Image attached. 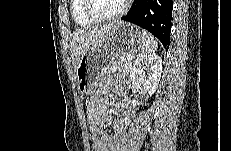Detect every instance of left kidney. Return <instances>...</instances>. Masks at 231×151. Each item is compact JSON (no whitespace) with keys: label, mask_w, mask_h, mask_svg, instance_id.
<instances>
[{"label":"left kidney","mask_w":231,"mask_h":151,"mask_svg":"<svg viewBox=\"0 0 231 151\" xmlns=\"http://www.w3.org/2000/svg\"><path fill=\"white\" fill-rule=\"evenodd\" d=\"M162 73V59L158 55H139L131 67L133 85L143 86L151 96L155 93Z\"/></svg>","instance_id":"1"}]
</instances>
